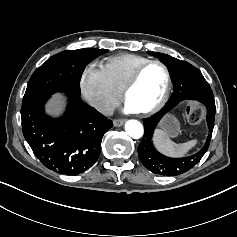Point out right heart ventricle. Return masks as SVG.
<instances>
[{"label":"right heart ventricle","mask_w":237,"mask_h":237,"mask_svg":"<svg viewBox=\"0 0 237 237\" xmlns=\"http://www.w3.org/2000/svg\"><path fill=\"white\" fill-rule=\"evenodd\" d=\"M147 61L148 58L140 55L119 54L107 57L103 62V69L112 85L120 92L134 72Z\"/></svg>","instance_id":"1"}]
</instances>
